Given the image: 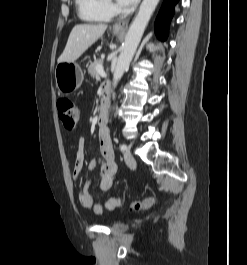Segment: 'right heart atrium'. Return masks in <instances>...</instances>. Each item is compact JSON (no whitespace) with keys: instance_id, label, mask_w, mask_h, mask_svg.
Listing matches in <instances>:
<instances>
[{"instance_id":"d8ad5b80","label":"right heart atrium","mask_w":247,"mask_h":265,"mask_svg":"<svg viewBox=\"0 0 247 265\" xmlns=\"http://www.w3.org/2000/svg\"><path fill=\"white\" fill-rule=\"evenodd\" d=\"M107 8H108V10H109L111 13L114 12V6H113L111 3H108V4H107Z\"/></svg>"}]
</instances>
